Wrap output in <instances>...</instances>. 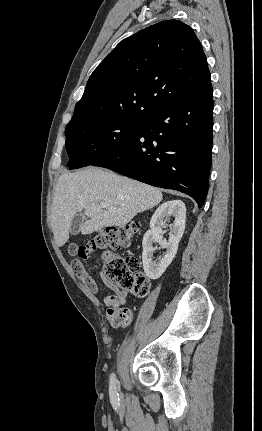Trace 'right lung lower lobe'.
Listing matches in <instances>:
<instances>
[{
  "label": "right lung lower lobe",
  "mask_w": 262,
  "mask_h": 431,
  "mask_svg": "<svg viewBox=\"0 0 262 431\" xmlns=\"http://www.w3.org/2000/svg\"><path fill=\"white\" fill-rule=\"evenodd\" d=\"M213 89L143 118L137 132L93 163L191 196L201 208L212 162Z\"/></svg>",
  "instance_id": "right-lung-lower-lobe-1"
}]
</instances>
